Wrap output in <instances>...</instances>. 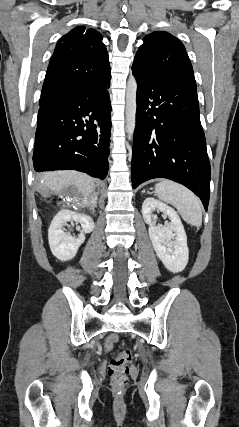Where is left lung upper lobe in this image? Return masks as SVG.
Masks as SVG:
<instances>
[{
    "label": "left lung upper lobe",
    "instance_id": "1",
    "mask_svg": "<svg viewBox=\"0 0 239 427\" xmlns=\"http://www.w3.org/2000/svg\"><path fill=\"white\" fill-rule=\"evenodd\" d=\"M133 66L143 73L167 80L196 92L193 68L184 45L167 32L147 35Z\"/></svg>",
    "mask_w": 239,
    "mask_h": 427
}]
</instances>
